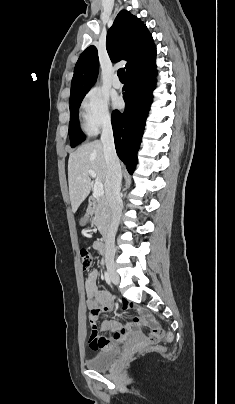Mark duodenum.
Here are the masks:
<instances>
[{
  "mask_svg": "<svg viewBox=\"0 0 235 404\" xmlns=\"http://www.w3.org/2000/svg\"><path fill=\"white\" fill-rule=\"evenodd\" d=\"M96 203H97V201H96L95 198H90V199H89V202H88V213H89L90 215H92V214L94 213ZM106 242H107V239L104 238L103 250L105 249Z\"/></svg>",
  "mask_w": 235,
  "mask_h": 404,
  "instance_id": "410a0bca",
  "label": "duodenum"
}]
</instances>
